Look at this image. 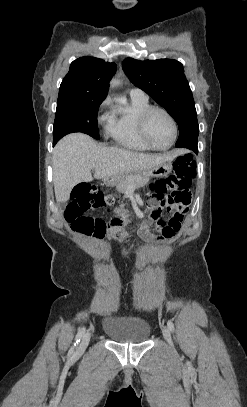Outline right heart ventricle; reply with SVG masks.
Here are the masks:
<instances>
[{
    "instance_id": "obj_1",
    "label": "right heart ventricle",
    "mask_w": 247,
    "mask_h": 407,
    "mask_svg": "<svg viewBox=\"0 0 247 407\" xmlns=\"http://www.w3.org/2000/svg\"><path fill=\"white\" fill-rule=\"evenodd\" d=\"M149 107L148 99L131 97L129 105L111 111L107 133L118 146L137 152L150 150L141 140L137 127L139 115Z\"/></svg>"
}]
</instances>
